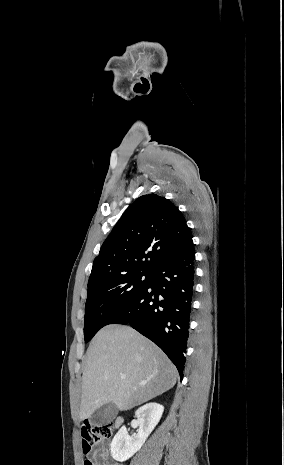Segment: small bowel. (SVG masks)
Returning a JSON list of instances; mask_svg holds the SVG:
<instances>
[{
  "label": "small bowel",
  "instance_id": "small-bowel-1",
  "mask_svg": "<svg viewBox=\"0 0 284 465\" xmlns=\"http://www.w3.org/2000/svg\"><path fill=\"white\" fill-rule=\"evenodd\" d=\"M108 454H109L108 445L104 442L99 444L93 456L95 462L97 463L96 465H108L107 464ZM110 465H116V463H112Z\"/></svg>",
  "mask_w": 284,
  "mask_h": 465
}]
</instances>
